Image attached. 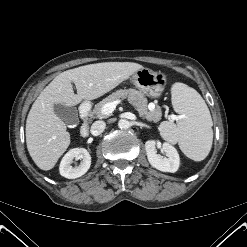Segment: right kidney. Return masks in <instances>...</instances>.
<instances>
[{"label":"right kidney","instance_id":"1","mask_svg":"<svg viewBox=\"0 0 247 247\" xmlns=\"http://www.w3.org/2000/svg\"><path fill=\"white\" fill-rule=\"evenodd\" d=\"M74 158L82 160L79 166H71ZM90 165L91 156L89 152L84 148H73L61 160L59 167L60 175L68 179H75L84 175L90 168Z\"/></svg>","mask_w":247,"mask_h":247}]
</instances>
